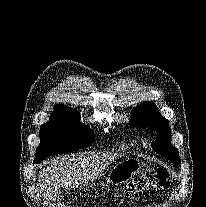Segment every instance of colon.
<instances>
[{
  "instance_id": "obj_1",
  "label": "colon",
  "mask_w": 206,
  "mask_h": 207,
  "mask_svg": "<svg viewBox=\"0 0 206 207\" xmlns=\"http://www.w3.org/2000/svg\"><path fill=\"white\" fill-rule=\"evenodd\" d=\"M169 174L164 168H150L139 173L131 182L129 189L130 198L142 194H159L169 188Z\"/></svg>"
}]
</instances>
